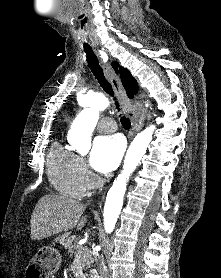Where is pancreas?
<instances>
[{"label": "pancreas", "instance_id": "1", "mask_svg": "<svg viewBox=\"0 0 221 278\" xmlns=\"http://www.w3.org/2000/svg\"><path fill=\"white\" fill-rule=\"evenodd\" d=\"M76 236H71L68 233L61 235L55 239L56 243L64 246L67 249L68 254L72 257L73 255H77L80 253L81 261H82V268L88 269L91 267L93 263V257L90 250L87 247H82L76 244ZM74 242V243H73ZM85 276H88L85 274Z\"/></svg>", "mask_w": 221, "mask_h": 278}]
</instances>
